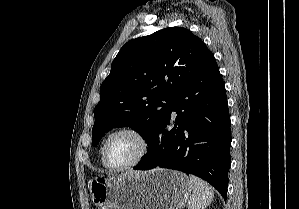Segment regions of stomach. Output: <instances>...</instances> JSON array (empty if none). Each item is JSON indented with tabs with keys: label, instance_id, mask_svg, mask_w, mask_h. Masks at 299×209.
<instances>
[{
	"label": "stomach",
	"instance_id": "1",
	"mask_svg": "<svg viewBox=\"0 0 299 209\" xmlns=\"http://www.w3.org/2000/svg\"><path fill=\"white\" fill-rule=\"evenodd\" d=\"M88 188L98 209H182L192 191L186 174L162 168L118 178L95 177Z\"/></svg>",
	"mask_w": 299,
	"mask_h": 209
}]
</instances>
